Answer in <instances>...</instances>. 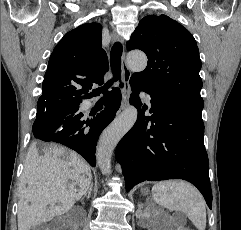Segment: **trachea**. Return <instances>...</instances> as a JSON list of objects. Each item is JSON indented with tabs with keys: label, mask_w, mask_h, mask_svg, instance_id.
<instances>
[{
	"label": "trachea",
	"mask_w": 241,
	"mask_h": 230,
	"mask_svg": "<svg viewBox=\"0 0 241 230\" xmlns=\"http://www.w3.org/2000/svg\"><path fill=\"white\" fill-rule=\"evenodd\" d=\"M122 44L119 42H116L111 50L110 53V63L111 68L114 74V77L109 80L103 87H100L93 92L90 93V96H99L101 93L103 95H106L108 88L113 84L114 81H117L120 79V73H121V55H122ZM123 84L120 83V87H122ZM104 98H101L100 101H102Z\"/></svg>",
	"instance_id": "trachea-1"
}]
</instances>
